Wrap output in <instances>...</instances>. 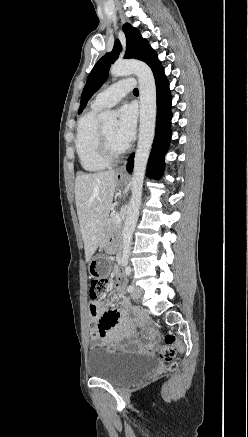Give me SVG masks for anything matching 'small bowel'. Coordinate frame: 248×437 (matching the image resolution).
<instances>
[{
	"instance_id": "1",
	"label": "small bowel",
	"mask_w": 248,
	"mask_h": 437,
	"mask_svg": "<svg viewBox=\"0 0 248 437\" xmlns=\"http://www.w3.org/2000/svg\"><path fill=\"white\" fill-rule=\"evenodd\" d=\"M117 298L121 300L122 310H109L101 301H91L89 303V336L91 347L107 346L120 341H125L124 348L128 351L141 352L145 350L146 344L139 339L137 330L132 324L128 314L131 307L128 301L121 295L122 279H115ZM143 328L142 337L151 339L154 331L140 324Z\"/></svg>"
}]
</instances>
